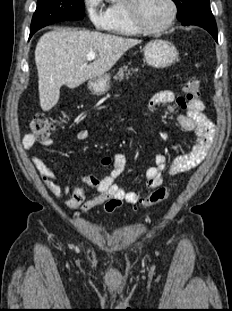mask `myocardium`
<instances>
[{
    "label": "myocardium",
    "mask_w": 232,
    "mask_h": 311,
    "mask_svg": "<svg viewBox=\"0 0 232 311\" xmlns=\"http://www.w3.org/2000/svg\"><path fill=\"white\" fill-rule=\"evenodd\" d=\"M139 2L140 0H126V9L130 22L140 33L157 34L166 31L173 25L178 12L177 5L174 0H167L170 6V16L163 25L156 28H150L141 21L139 16Z\"/></svg>",
    "instance_id": "f54148a6"
}]
</instances>
